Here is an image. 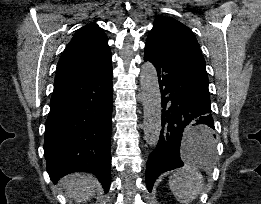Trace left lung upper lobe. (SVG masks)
<instances>
[{
  "instance_id": "1",
  "label": "left lung upper lobe",
  "mask_w": 261,
  "mask_h": 204,
  "mask_svg": "<svg viewBox=\"0 0 261 204\" xmlns=\"http://www.w3.org/2000/svg\"><path fill=\"white\" fill-rule=\"evenodd\" d=\"M147 41H155L161 45L178 50L205 69V60L194 34L187 26L175 19L158 17L153 24Z\"/></svg>"
}]
</instances>
